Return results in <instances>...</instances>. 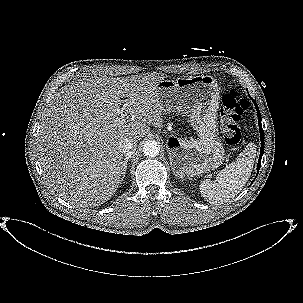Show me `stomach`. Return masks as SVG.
<instances>
[{
    "label": "stomach",
    "mask_w": 303,
    "mask_h": 303,
    "mask_svg": "<svg viewBox=\"0 0 303 303\" xmlns=\"http://www.w3.org/2000/svg\"><path fill=\"white\" fill-rule=\"evenodd\" d=\"M157 96L165 112L176 110L189 115L197 138L170 140L169 158L176 176H199L217 169L225 160L218 137L217 110L220 89L210 75L162 79Z\"/></svg>",
    "instance_id": "0dacf381"
}]
</instances>
